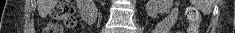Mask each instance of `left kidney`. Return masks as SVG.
I'll return each mask as SVG.
<instances>
[{"instance_id": "5707ae66", "label": "left kidney", "mask_w": 235, "mask_h": 33, "mask_svg": "<svg viewBox=\"0 0 235 33\" xmlns=\"http://www.w3.org/2000/svg\"><path fill=\"white\" fill-rule=\"evenodd\" d=\"M173 6V0H148L146 12L149 17L156 18L158 14L169 13Z\"/></svg>"}]
</instances>
